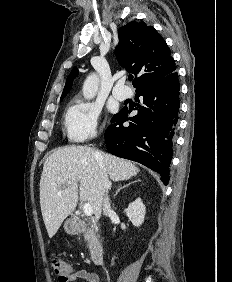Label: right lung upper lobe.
<instances>
[{"mask_svg": "<svg viewBox=\"0 0 232 282\" xmlns=\"http://www.w3.org/2000/svg\"><path fill=\"white\" fill-rule=\"evenodd\" d=\"M118 36L115 55L119 64L136 76L133 81L135 88L175 71L170 49L154 27L132 21L119 29ZM77 75L78 69L75 67L67 77L61 98L70 91Z\"/></svg>", "mask_w": 232, "mask_h": 282, "instance_id": "right-lung-upper-lobe-1", "label": "right lung upper lobe"}]
</instances>
